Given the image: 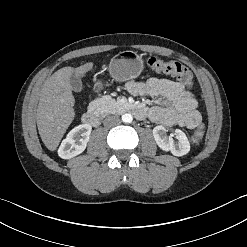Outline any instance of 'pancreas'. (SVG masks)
<instances>
[{
    "mask_svg": "<svg viewBox=\"0 0 247 247\" xmlns=\"http://www.w3.org/2000/svg\"><path fill=\"white\" fill-rule=\"evenodd\" d=\"M92 105L95 106L97 113L101 116H105L111 113H119L124 109V106L118 103L110 95L97 98L92 102Z\"/></svg>",
    "mask_w": 247,
    "mask_h": 247,
    "instance_id": "1",
    "label": "pancreas"
}]
</instances>
